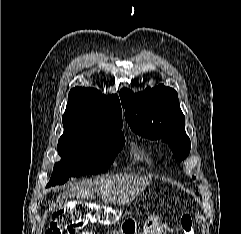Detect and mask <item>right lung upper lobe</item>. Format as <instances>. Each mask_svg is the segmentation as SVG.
Segmentation results:
<instances>
[{
	"label": "right lung upper lobe",
	"instance_id": "right-lung-upper-lobe-1",
	"mask_svg": "<svg viewBox=\"0 0 241 234\" xmlns=\"http://www.w3.org/2000/svg\"><path fill=\"white\" fill-rule=\"evenodd\" d=\"M121 115L117 95L106 96L94 88L75 87L70 90L62 118L83 128L120 129L123 126Z\"/></svg>",
	"mask_w": 241,
	"mask_h": 234
}]
</instances>
